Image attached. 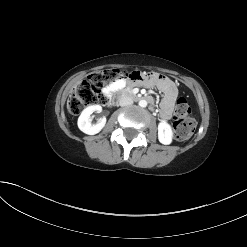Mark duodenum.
Instances as JSON below:
<instances>
[{
    "label": "duodenum",
    "mask_w": 247,
    "mask_h": 247,
    "mask_svg": "<svg viewBox=\"0 0 247 247\" xmlns=\"http://www.w3.org/2000/svg\"><path fill=\"white\" fill-rule=\"evenodd\" d=\"M123 92V91H122ZM122 92H115L114 100H112L113 107H118L119 103V97H122ZM131 99H134L135 101L138 100H145L149 103L153 102V99L149 95H132L130 92H125Z\"/></svg>",
    "instance_id": "1"
}]
</instances>
